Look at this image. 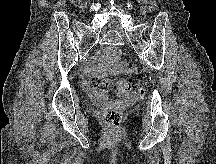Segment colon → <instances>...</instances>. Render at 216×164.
Wrapping results in <instances>:
<instances>
[{
  "label": "colon",
  "instance_id": "5ec220e1",
  "mask_svg": "<svg viewBox=\"0 0 216 164\" xmlns=\"http://www.w3.org/2000/svg\"><path fill=\"white\" fill-rule=\"evenodd\" d=\"M111 96L118 98L112 101L103 111L106 124L118 127L123 121V110L143 96V89L132 79L107 80L104 82Z\"/></svg>",
  "mask_w": 216,
  "mask_h": 164
}]
</instances>
